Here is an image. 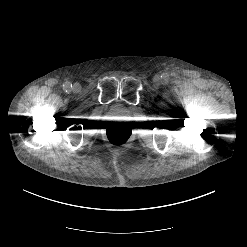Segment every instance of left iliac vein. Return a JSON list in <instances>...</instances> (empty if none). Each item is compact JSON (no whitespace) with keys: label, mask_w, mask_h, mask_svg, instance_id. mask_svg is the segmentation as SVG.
<instances>
[{"label":"left iliac vein","mask_w":247,"mask_h":247,"mask_svg":"<svg viewBox=\"0 0 247 247\" xmlns=\"http://www.w3.org/2000/svg\"><path fill=\"white\" fill-rule=\"evenodd\" d=\"M161 82H162L161 77H160L159 75H156V76L154 77V79H153L154 85H155V86H159V85L161 84Z\"/></svg>","instance_id":"obj_1"}]
</instances>
